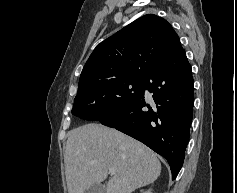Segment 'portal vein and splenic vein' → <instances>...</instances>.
I'll return each mask as SVG.
<instances>
[{
	"label": "portal vein and splenic vein",
	"mask_w": 237,
	"mask_h": 193,
	"mask_svg": "<svg viewBox=\"0 0 237 193\" xmlns=\"http://www.w3.org/2000/svg\"><path fill=\"white\" fill-rule=\"evenodd\" d=\"M108 170H109V173H110V174H112V175L115 174V170H114L113 168H109Z\"/></svg>",
	"instance_id": "portal-vein-and-splenic-vein-1"
}]
</instances>
